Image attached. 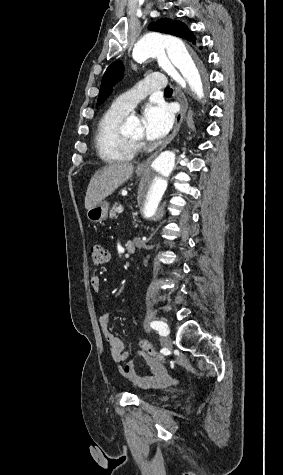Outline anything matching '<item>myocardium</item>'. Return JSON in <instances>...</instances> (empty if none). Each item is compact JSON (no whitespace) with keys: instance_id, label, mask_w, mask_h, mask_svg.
<instances>
[{"instance_id":"myocardium-1","label":"myocardium","mask_w":283,"mask_h":475,"mask_svg":"<svg viewBox=\"0 0 283 475\" xmlns=\"http://www.w3.org/2000/svg\"><path fill=\"white\" fill-rule=\"evenodd\" d=\"M144 145L143 138L141 139H131L123 135L122 140L115 145V150L118 153H121L125 150H128L131 154H136Z\"/></svg>"}]
</instances>
